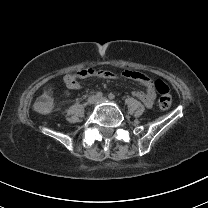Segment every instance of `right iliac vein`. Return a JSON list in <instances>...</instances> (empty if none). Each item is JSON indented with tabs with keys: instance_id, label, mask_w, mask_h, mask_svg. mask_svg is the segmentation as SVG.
Returning a JSON list of instances; mask_svg holds the SVG:
<instances>
[{
	"instance_id": "right-iliac-vein-1",
	"label": "right iliac vein",
	"mask_w": 208,
	"mask_h": 208,
	"mask_svg": "<svg viewBox=\"0 0 208 208\" xmlns=\"http://www.w3.org/2000/svg\"><path fill=\"white\" fill-rule=\"evenodd\" d=\"M96 101H97V98H96V96H94V95L89 96V98L87 99V103H88L89 105H92V104L96 103Z\"/></svg>"
}]
</instances>
